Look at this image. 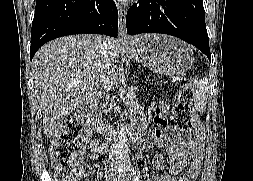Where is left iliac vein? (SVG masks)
<instances>
[{
	"mask_svg": "<svg viewBox=\"0 0 253 181\" xmlns=\"http://www.w3.org/2000/svg\"><path fill=\"white\" fill-rule=\"evenodd\" d=\"M115 181H117V180L115 179ZM123 181H132V179L129 174H125Z\"/></svg>",
	"mask_w": 253,
	"mask_h": 181,
	"instance_id": "left-iliac-vein-1",
	"label": "left iliac vein"
}]
</instances>
